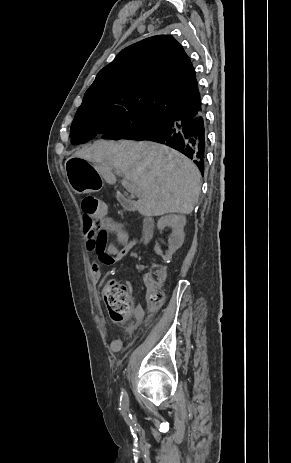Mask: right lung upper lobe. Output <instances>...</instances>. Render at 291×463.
I'll return each mask as SVG.
<instances>
[{
  "mask_svg": "<svg viewBox=\"0 0 291 463\" xmlns=\"http://www.w3.org/2000/svg\"><path fill=\"white\" fill-rule=\"evenodd\" d=\"M112 103L163 115H197L201 101L195 70L179 42L157 35L123 49L98 72L79 109Z\"/></svg>",
  "mask_w": 291,
  "mask_h": 463,
  "instance_id": "right-lung-upper-lobe-1",
  "label": "right lung upper lobe"
}]
</instances>
